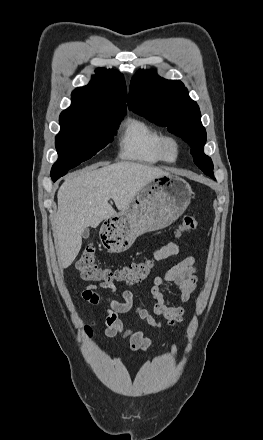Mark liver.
<instances>
[{
	"label": "liver",
	"mask_w": 263,
	"mask_h": 440,
	"mask_svg": "<svg viewBox=\"0 0 263 440\" xmlns=\"http://www.w3.org/2000/svg\"><path fill=\"white\" fill-rule=\"evenodd\" d=\"M169 173L153 166L122 161L101 168L92 166L72 174L57 193L58 211L53 234L58 262L69 267L78 255L85 228H96L116 211L123 210L153 179Z\"/></svg>",
	"instance_id": "liver-1"
}]
</instances>
